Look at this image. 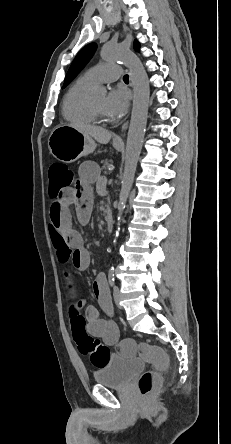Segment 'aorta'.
Masks as SVG:
<instances>
[{
	"mask_svg": "<svg viewBox=\"0 0 231 444\" xmlns=\"http://www.w3.org/2000/svg\"><path fill=\"white\" fill-rule=\"evenodd\" d=\"M105 61H122L130 68L133 85V107L126 144L124 173L118 202V220L126 207V202L133 184L137 162L142 149L148 116L150 97L148 77L139 57L118 44L106 43L101 50ZM105 92L104 88L99 89ZM118 232H116V236Z\"/></svg>",
	"mask_w": 231,
	"mask_h": 444,
	"instance_id": "aorta-1",
	"label": "aorta"
}]
</instances>
